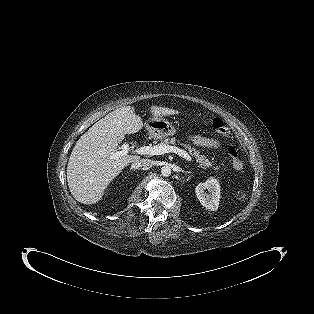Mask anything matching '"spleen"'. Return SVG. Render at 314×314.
Masks as SVG:
<instances>
[{
  "instance_id": "obj_1",
  "label": "spleen",
  "mask_w": 314,
  "mask_h": 314,
  "mask_svg": "<svg viewBox=\"0 0 314 314\" xmlns=\"http://www.w3.org/2000/svg\"><path fill=\"white\" fill-rule=\"evenodd\" d=\"M245 196H246V193H243L241 196H240V200H244L245 199Z\"/></svg>"
}]
</instances>
